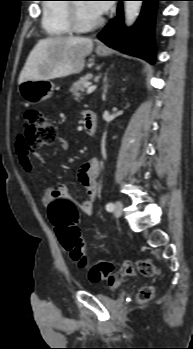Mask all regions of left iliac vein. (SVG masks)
Segmentation results:
<instances>
[{
  "mask_svg": "<svg viewBox=\"0 0 193 349\" xmlns=\"http://www.w3.org/2000/svg\"><path fill=\"white\" fill-rule=\"evenodd\" d=\"M123 210V204L120 201L115 202V207H114V215L116 217L121 216Z\"/></svg>",
  "mask_w": 193,
  "mask_h": 349,
  "instance_id": "1",
  "label": "left iliac vein"
}]
</instances>
